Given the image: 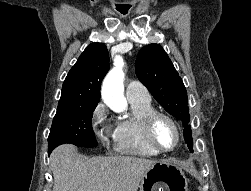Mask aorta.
<instances>
[{"label":"aorta","instance_id":"1","mask_svg":"<svg viewBox=\"0 0 251 191\" xmlns=\"http://www.w3.org/2000/svg\"><path fill=\"white\" fill-rule=\"evenodd\" d=\"M114 66L115 68H112L106 78H104L101 96L104 103H106L110 109H113L116 113H120V111H125L128 105L127 99L124 97V62L120 56L115 58Z\"/></svg>","mask_w":251,"mask_h":191}]
</instances>
